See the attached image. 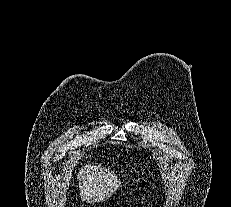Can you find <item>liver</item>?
Returning a JSON list of instances; mask_svg holds the SVG:
<instances>
[{
    "label": "liver",
    "instance_id": "obj_1",
    "mask_svg": "<svg viewBox=\"0 0 231 207\" xmlns=\"http://www.w3.org/2000/svg\"><path fill=\"white\" fill-rule=\"evenodd\" d=\"M78 179L81 199L87 203L107 200L120 186L114 171L101 164L84 165L79 170Z\"/></svg>",
    "mask_w": 231,
    "mask_h": 207
}]
</instances>
